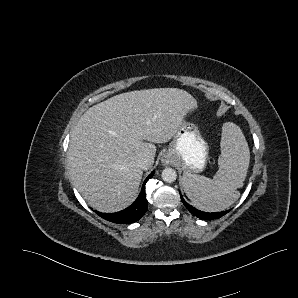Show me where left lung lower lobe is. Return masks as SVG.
I'll list each match as a JSON object with an SVG mask.
<instances>
[{
    "label": "left lung lower lobe",
    "mask_w": 298,
    "mask_h": 298,
    "mask_svg": "<svg viewBox=\"0 0 298 298\" xmlns=\"http://www.w3.org/2000/svg\"><path fill=\"white\" fill-rule=\"evenodd\" d=\"M181 196V200L183 202V204L185 205V207L195 216H197L200 219H204V220H212V219H218L220 217H222L223 215H225L226 213H228L230 210L228 211H222V212H214V213H207V212H202L200 210L195 209L194 207H192L191 205L187 204L184 199Z\"/></svg>",
    "instance_id": "left-lung-lower-lobe-1"
}]
</instances>
